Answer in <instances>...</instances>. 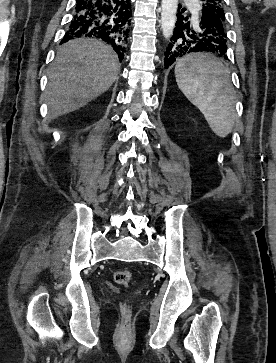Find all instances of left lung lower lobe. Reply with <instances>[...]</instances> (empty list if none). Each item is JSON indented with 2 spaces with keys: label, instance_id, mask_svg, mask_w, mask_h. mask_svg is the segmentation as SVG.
<instances>
[{
  "label": "left lung lower lobe",
  "instance_id": "obj_1",
  "mask_svg": "<svg viewBox=\"0 0 276 363\" xmlns=\"http://www.w3.org/2000/svg\"><path fill=\"white\" fill-rule=\"evenodd\" d=\"M185 10H178L176 27L164 53V68L167 69L181 57L201 51L216 53L227 59L226 42L222 39L221 26L214 14L202 10L199 20L190 24L189 17L182 15Z\"/></svg>",
  "mask_w": 276,
  "mask_h": 363
}]
</instances>
